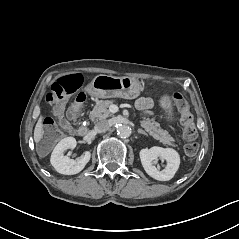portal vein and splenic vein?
Masks as SVG:
<instances>
[{
    "instance_id": "1",
    "label": "portal vein and splenic vein",
    "mask_w": 239,
    "mask_h": 239,
    "mask_svg": "<svg viewBox=\"0 0 239 239\" xmlns=\"http://www.w3.org/2000/svg\"><path fill=\"white\" fill-rule=\"evenodd\" d=\"M110 111H111L112 113H116V112L118 111V107H117L116 105H111V106H110Z\"/></svg>"
}]
</instances>
